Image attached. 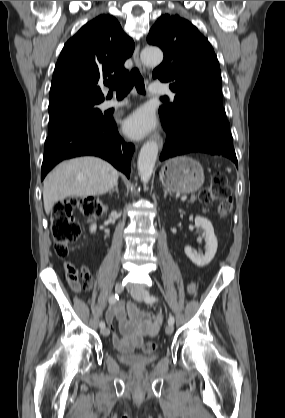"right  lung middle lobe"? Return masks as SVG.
<instances>
[{
  "label": "right lung middle lobe",
  "mask_w": 285,
  "mask_h": 418,
  "mask_svg": "<svg viewBox=\"0 0 285 418\" xmlns=\"http://www.w3.org/2000/svg\"><path fill=\"white\" fill-rule=\"evenodd\" d=\"M96 102L72 101L49 106L48 136L62 129L81 124H98L106 121Z\"/></svg>",
  "instance_id": "right-lung-middle-lobe-1"
}]
</instances>
